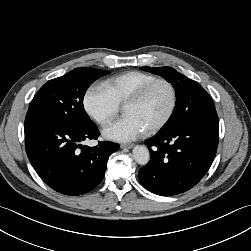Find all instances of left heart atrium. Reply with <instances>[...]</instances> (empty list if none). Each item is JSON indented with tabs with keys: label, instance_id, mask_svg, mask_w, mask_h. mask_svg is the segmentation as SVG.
Returning <instances> with one entry per match:
<instances>
[{
	"label": "left heart atrium",
	"instance_id": "1",
	"mask_svg": "<svg viewBox=\"0 0 251 251\" xmlns=\"http://www.w3.org/2000/svg\"><path fill=\"white\" fill-rule=\"evenodd\" d=\"M146 131L143 124L132 115H125L103 130L106 139L128 142L137 139Z\"/></svg>",
	"mask_w": 251,
	"mask_h": 251
}]
</instances>
